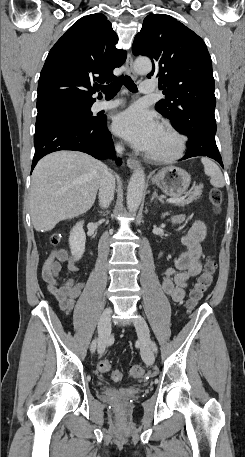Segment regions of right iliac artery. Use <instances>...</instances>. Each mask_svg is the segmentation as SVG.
Wrapping results in <instances>:
<instances>
[{
    "label": "right iliac artery",
    "mask_w": 245,
    "mask_h": 457,
    "mask_svg": "<svg viewBox=\"0 0 245 457\" xmlns=\"http://www.w3.org/2000/svg\"><path fill=\"white\" fill-rule=\"evenodd\" d=\"M96 343H97V340L96 339L93 340L92 345H91V351L92 352L95 351V349H96Z\"/></svg>",
    "instance_id": "1"
}]
</instances>
